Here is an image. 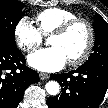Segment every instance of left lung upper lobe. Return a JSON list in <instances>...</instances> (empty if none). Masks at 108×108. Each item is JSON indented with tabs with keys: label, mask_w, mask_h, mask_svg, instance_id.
<instances>
[{
	"label": "left lung upper lobe",
	"mask_w": 108,
	"mask_h": 108,
	"mask_svg": "<svg viewBox=\"0 0 108 108\" xmlns=\"http://www.w3.org/2000/svg\"><path fill=\"white\" fill-rule=\"evenodd\" d=\"M94 20L93 28L96 39L93 47V53L84 64L91 63L93 61L108 62V23L98 13H96ZM75 95L76 92L68 93L70 99H73Z\"/></svg>",
	"instance_id": "left-lung-upper-lobe-1"
}]
</instances>
